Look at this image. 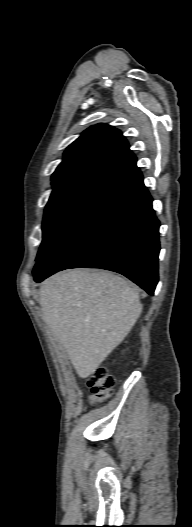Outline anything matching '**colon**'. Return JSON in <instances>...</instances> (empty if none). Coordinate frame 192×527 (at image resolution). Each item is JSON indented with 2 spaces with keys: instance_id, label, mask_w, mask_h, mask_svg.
Here are the masks:
<instances>
[{
  "instance_id": "5ec220e1",
  "label": "colon",
  "mask_w": 192,
  "mask_h": 527,
  "mask_svg": "<svg viewBox=\"0 0 192 527\" xmlns=\"http://www.w3.org/2000/svg\"><path fill=\"white\" fill-rule=\"evenodd\" d=\"M115 386V378L104 367L97 368L88 380L91 403H100L109 398Z\"/></svg>"
}]
</instances>
